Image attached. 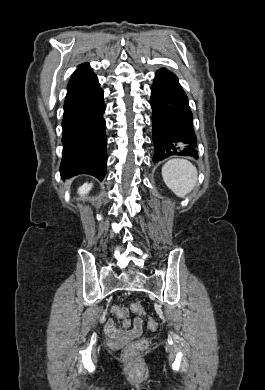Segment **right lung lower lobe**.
<instances>
[{
	"instance_id": "98d812e1",
	"label": "right lung lower lobe",
	"mask_w": 265,
	"mask_h": 390,
	"mask_svg": "<svg viewBox=\"0 0 265 390\" xmlns=\"http://www.w3.org/2000/svg\"><path fill=\"white\" fill-rule=\"evenodd\" d=\"M103 90L90 66L80 65L71 76L64 102L62 178L89 174L102 180L106 173Z\"/></svg>"
}]
</instances>
